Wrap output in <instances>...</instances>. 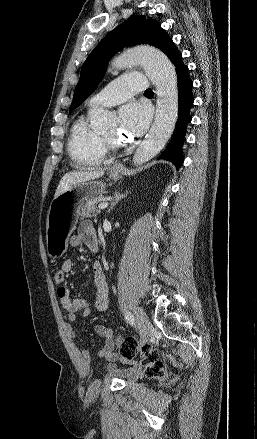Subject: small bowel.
<instances>
[{"mask_svg": "<svg viewBox=\"0 0 257 439\" xmlns=\"http://www.w3.org/2000/svg\"><path fill=\"white\" fill-rule=\"evenodd\" d=\"M70 244L73 247L85 244L91 251L96 252L98 249V239L95 229L91 222L84 221L80 224L78 232L71 236ZM73 269V262L70 259L65 260L61 265V271L64 274L70 273ZM93 284L96 289V298L93 303V310L103 312L107 309L109 303V291L105 274L99 262H95L92 267ZM57 295L60 299L62 308L67 312V318L73 322L77 314L88 316L91 312V307L86 300L82 298H71L69 290L61 286L57 289ZM95 332L104 338L105 345L98 352V356L109 362L106 365V371L110 376L121 378L125 381H137L142 375L141 366L135 362L125 358H121L115 350L114 332L112 329L104 325H96ZM68 334L71 338L75 337V332L71 327L68 328ZM121 360L128 365V368L118 369L113 362ZM81 368L84 373H88L91 369V357L86 349L80 352Z\"/></svg>", "mask_w": 257, "mask_h": 439, "instance_id": "small-bowel-1", "label": "small bowel"}]
</instances>
